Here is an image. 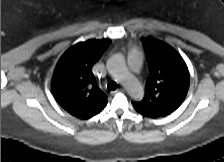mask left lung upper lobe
<instances>
[{"label": "left lung upper lobe", "instance_id": "5c2ea615", "mask_svg": "<svg viewBox=\"0 0 224 162\" xmlns=\"http://www.w3.org/2000/svg\"><path fill=\"white\" fill-rule=\"evenodd\" d=\"M142 41L148 53L150 74L144 98L132 104L142 115L166 116L184 101L189 89V71L180 54L168 44L149 37Z\"/></svg>", "mask_w": 224, "mask_h": 162}]
</instances>
